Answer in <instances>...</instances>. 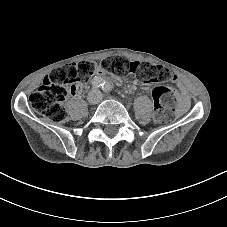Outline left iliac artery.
<instances>
[{"label": "left iliac artery", "instance_id": "obj_1", "mask_svg": "<svg viewBox=\"0 0 227 227\" xmlns=\"http://www.w3.org/2000/svg\"><path fill=\"white\" fill-rule=\"evenodd\" d=\"M102 89L104 92L108 93L112 90V85L108 82H104Z\"/></svg>", "mask_w": 227, "mask_h": 227}]
</instances>
